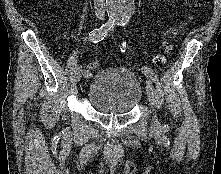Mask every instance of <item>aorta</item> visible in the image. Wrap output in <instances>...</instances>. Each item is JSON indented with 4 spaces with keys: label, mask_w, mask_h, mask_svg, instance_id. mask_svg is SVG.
<instances>
[{
    "label": "aorta",
    "mask_w": 221,
    "mask_h": 174,
    "mask_svg": "<svg viewBox=\"0 0 221 174\" xmlns=\"http://www.w3.org/2000/svg\"><path fill=\"white\" fill-rule=\"evenodd\" d=\"M107 13L113 21H128L134 9V0H106Z\"/></svg>",
    "instance_id": "1"
}]
</instances>
